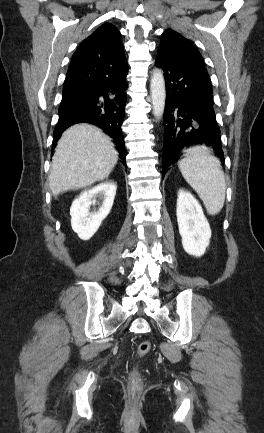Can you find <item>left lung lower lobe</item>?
Instances as JSON below:
<instances>
[{
  "mask_svg": "<svg viewBox=\"0 0 264 433\" xmlns=\"http://www.w3.org/2000/svg\"><path fill=\"white\" fill-rule=\"evenodd\" d=\"M156 65L162 68L166 82L162 177L177 162L180 151L191 145L212 147L224 162L209 74L181 67L159 55Z\"/></svg>",
  "mask_w": 264,
  "mask_h": 433,
  "instance_id": "obj_1",
  "label": "left lung lower lobe"
}]
</instances>
